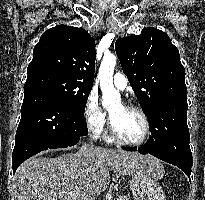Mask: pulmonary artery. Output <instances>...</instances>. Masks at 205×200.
I'll use <instances>...</instances> for the list:
<instances>
[{
	"instance_id": "pulmonary-artery-1",
	"label": "pulmonary artery",
	"mask_w": 205,
	"mask_h": 200,
	"mask_svg": "<svg viewBox=\"0 0 205 200\" xmlns=\"http://www.w3.org/2000/svg\"><path fill=\"white\" fill-rule=\"evenodd\" d=\"M113 84L119 90H125L128 86V80L122 73H116L113 77Z\"/></svg>"
}]
</instances>
